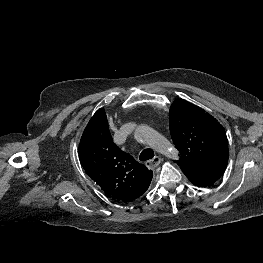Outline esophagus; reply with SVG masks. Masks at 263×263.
I'll return each instance as SVG.
<instances>
[{
	"label": "esophagus",
	"instance_id": "esophagus-1",
	"mask_svg": "<svg viewBox=\"0 0 263 263\" xmlns=\"http://www.w3.org/2000/svg\"><path fill=\"white\" fill-rule=\"evenodd\" d=\"M161 161H162L161 157L155 156L154 158L146 162V166L148 169H154L161 163Z\"/></svg>",
	"mask_w": 263,
	"mask_h": 263
}]
</instances>
